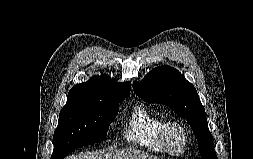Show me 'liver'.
<instances>
[{"instance_id":"obj_1","label":"liver","mask_w":253,"mask_h":159,"mask_svg":"<svg viewBox=\"0 0 253 159\" xmlns=\"http://www.w3.org/2000/svg\"><path fill=\"white\" fill-rule=\"evenodd\" d=\"M66 159H158L146 152L126 148L122 150H103L99 152H81L77 155L68 156Z\"/></svg>"}]
</instances>
